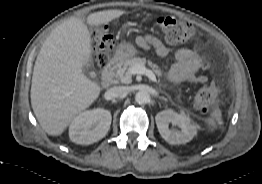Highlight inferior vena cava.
<instances>
[{
  "label": "inferior vena cava",
  "mask_w": 262,
  "mask_h": 184,
  "mask_svg": "<svg viewBox=\"0 0 262 184\" xmlns=\"http://www.w3.org/2000/svg\"><path fill=\"white\" fill-rule=\"evenodd\" d=\"M128 92L125 86H114L106 92L107 99H114L126 95Z\"/></svg>",
  "instance_id": "obj_1"
}]
</instances>
